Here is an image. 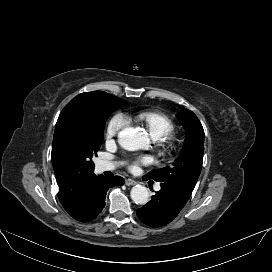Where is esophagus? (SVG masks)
I'll use <instances>...</instances> for the list:
<instances>
[{
	"mask_svg": "<svg viewBox=\"0 0 272 272\" xmlns=\"http://www.w3.org/2000/svg\"><path fill=\"white\" fill-rule=\"evenodd\" d=\"M125 184L127 186H132V185H135L136 184V181L132 180V179H126L125 180Z\"/></svg>",
	"mask_w": 272,
	"mask_h": 272,
	"instance_id": "esophagus-1",
	"label": "esophagus"
}]
</instances>
